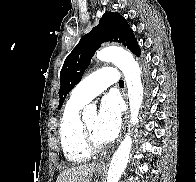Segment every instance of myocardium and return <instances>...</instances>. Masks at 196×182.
<instances>
[{
  "instance_id": "1",
  "label": "myocardium",
  "mask_w": 196,
  "mask_h": 182,
  "mask_svg": "<svg viewBox=\"0 0 196 182\" xmlns=\"http://www.w3.org/2000/svg\"><path fill=\"white\" fill-rule=\"evenodd\" d=\"M80 134L82 143L88 151L99 152L105 148V144L103 142L100 143L93 139L86 126L85 118L80 119Z\"/></svg>"
}]
</instances>
